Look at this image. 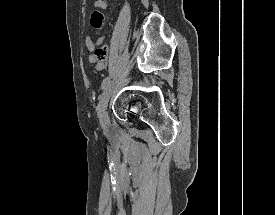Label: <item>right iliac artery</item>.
<instances>
[{"label":"right iliac artery","instance_id":"82829eb1","mask_svg":"<svg viewBox=\"0 0 275 215\" xmlns=\"http://www.w3.org/2000/svg\"><path fill=\"white\" fill-rule=\"evenodd\" d=\"M108 84H109V77H107L103 80L102 86H101L102 90H104Z\"/></svg>","mask_w":275,"mask_h":215}]
</instances>
